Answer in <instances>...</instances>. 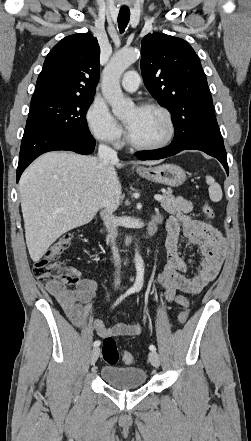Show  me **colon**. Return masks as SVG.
Instances as JSON below:
<instances>
[{"label": "colon", "instance_id": "5ec220e1", "mask_svg": "<svg viewBox=\"0 0 251 441\" xmlns=\"http://www.w3.org/2000/svg\"><path fill=\"white\" fill-rule=\"evenodd\" d=\"M203 213L209 219L214 217V209L211 205L203 206ZM73 236L66 233L58 238L48 249L45 256L34 264L33 273L39 285L64 289L79 283L80 277L72 267L64 266L59 261V256L71 245ZM189 318V310H183L178 315L180 324L186 323ZM102 356L106 363L113 365L119 360L117 344L112 336L105 337L102 343ZM122 359L125 364L130 365L134 362V357L124 352Z\"/></svg>", "mask_w": 251, "mask_h": 441}]
</instances>
